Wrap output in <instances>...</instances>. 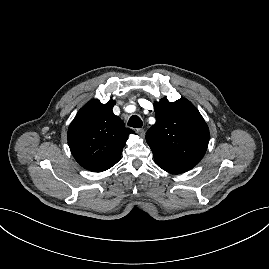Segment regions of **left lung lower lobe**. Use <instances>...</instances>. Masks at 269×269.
<instances>
[{
  "mask_svg": "<svg viewBox=\"0 0 269 269\" xmlns=\"http://www.w3.org/2000/svg\"><path fill=\"white\" fill-rule=\"evenodd\" d=\"M160 168L167 171L168 173L172 174H180L184 173L190 169H192L193 165H187V164H179V165H159Z\"/></svg>",
  "mask_w": 269,
  "mask_h": 269,
  "instance_id": "1",
  "label": "left lung lower lobe"
}]
</instances>
